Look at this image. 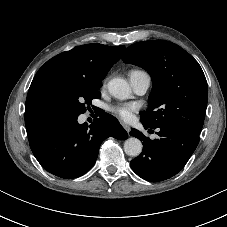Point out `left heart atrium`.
Segmentation results:
<instances>
[{"instance_id": "obj_1", "label": "left heart atrium", "mask_w": 227, "mask_h": 227, "mask_svg": "<svg viewBox=\"0 0 227 227\" xmlns=\"http://www.w3.org/2000/svg\"><path fill=\"white\" fill-rule=\"evenodd\" d=\"M137 109L138 106L136 104H118L111 107L112 113L126 121L133 117Z\"/></svg>"}]
</instances>
